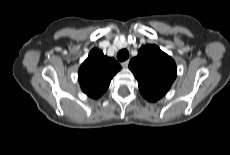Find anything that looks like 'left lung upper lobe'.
<instances>
[{"label": "left lung upper lobe", "instance_id": "1", "mask_svg": "<svg viewBox=\"0 0 230 155\" xmlns=\"http://www.w3.org/2000/svg\"><path fill=\"white\" fill-rule=\"evenodd\" d=\"M129 69L138 81L140 93L150 102L169 91L177 73L174 60L155 45L142 46L130 61Z\"/></svg>", "mask_w": 230, "mask_h": 155}]
</instances>
